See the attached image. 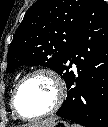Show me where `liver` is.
<instances>
[{"mask_svg":"<svg viewBox=\"0 0 108 127\" xmlns=\"http://www.w3.org/2000/svg\"><path fill=\"white\" fill-rule=\"evenodd\" d=\"M56 120V118H48L45 120H40L37 122H33L32 124L24 125L23 127H39V126H48L51 123H53Z\"/></svg>","mask_w":108,"mask_h":127,"instance_id":"obj_1","label":"liver"}]
</instances>
